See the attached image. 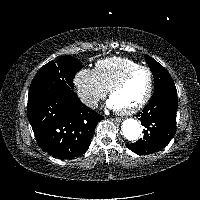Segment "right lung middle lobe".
I'll return each instance as SVG.
<instances>
[{"label": "right lung middle lobe", "mask_w": 200, "mask_h": 200, "mask_svg": "<svg viewBox=\"0 0 200 200\" xmlns=\"http://www.w3.org/2000/svg\"><path fill=\"white\" fill-rule=\"evenodd\" d=\"M80 69L82 65L74 57H61L56 62H48L34 76L28 97L40 94L73 93V79Z\"/></svg>", "instance_id": "dd1d6c3e"}]
</instances>
